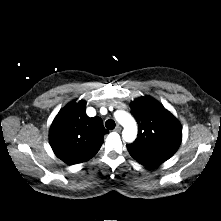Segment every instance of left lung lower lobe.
I'll return each instance as SVG.
<instances>
[{
    "mask_svg": "<svg viewBox=\"0 0 221 221\" xmlns=\"http://www.w3.org/2000/svg\"><path fill=\"white\" fill-rule=\"evenodd\" d=\"M162 163L163 162H161V161H153V162L148 163L146 166H148V167H155V166H159Z\"/></svg>",
    "mask_w": 221,
    "mask_h": 221,
    "instance_id": "1",
    "label": "left lung lower lobe"
}]
</instances>
